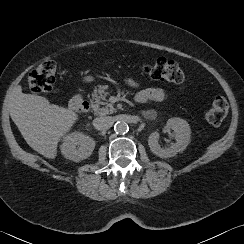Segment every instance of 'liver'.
I'll list each match as a JSON object with an SVG mask.
<instances>
[{
	"mask_svg": "<svg viewBox=\"0 0 244 244\" xmlns=\"http://www.w3.org/2000/svg\"><path fill=\"white\" fill-rule=\"evenodd\" d=\"M10 116L27 144L46 158L54 159L59 140L77 121V114L50 104L42 97L22 93L21 87L9 102Z\"/></svg>",
	"mask_w": 244,
	"mask_h": 244,
	"instance_id": "liver-1",
	"label": "liver"
}]
</instances>
